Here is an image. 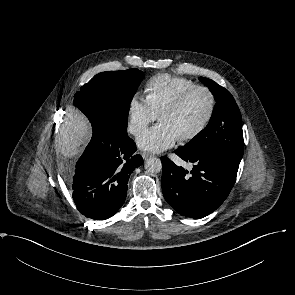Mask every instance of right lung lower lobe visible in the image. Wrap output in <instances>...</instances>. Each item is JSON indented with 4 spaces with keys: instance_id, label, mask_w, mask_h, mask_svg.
<instances>
[{
    "instance_id": "1",
    "label": "right lung lower lobe",
    "mask_w": 295,
    "mask_h": 295,
    "mask_svg": "<svg viewBox=\"0 0 295 295\" xmlns=\"http://www.w3.org/2000/svg\"><path fill=\"white\" fill-rule=\"evenodd\" d=\"M92 129L91 141L76 164L73 199L81 214L105 220L124 204L129 176L143 159L134 154L136 144L127 134L97 124Z\"/></svg>"
}]
</instances>
